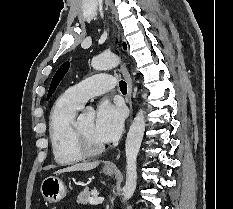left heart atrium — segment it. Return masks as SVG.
<instances>
[{
    "label": "left heart atrium",
    "instance_id": "obj_1",
    "mask_svg": "<svg viewBox=\"0 0 233 209\" xmlns=\"http://www.w3.org/2000/svg\"><path fill=\"white\" fill-rule=\"evenodd\" d=\"M123 127V110L109 102H101L94 121V137L101 143L118 138Z\"/></svg>",
    "mask_w": 233,
    "mask_h": 209
}]
</instances>
